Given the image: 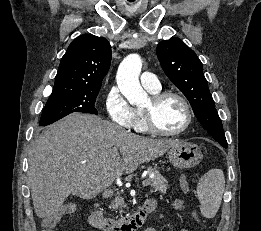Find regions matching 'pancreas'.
<instances>
[{
    "label": "pancreas",
    "mask_w": 261,
    "mask_h": 231,
    "mask_svg": "<svg viewBox=\"0 0 261 231\" xmlns=\"http://www.w3.org/2000/svg\"><path fill=\"white\" fill-rule=\"evenodd\" d=\"M147 172L149 174H153L154 177L148 179L149 180V185L154 189L155 192H160V193H166L168 189V182L165 180V178L160 174V172L155 168L149 166L147 168ZM124 202L123 199L120 196H116L115 200L112 201V204L110 208L112 209H117L119 206H123Z\"/></svg>",
    "instance_id": "1"
}]
</instances>
